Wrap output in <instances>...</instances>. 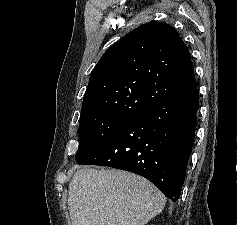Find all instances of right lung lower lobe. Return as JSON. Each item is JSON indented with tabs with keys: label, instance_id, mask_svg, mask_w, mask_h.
<instances>
[{
	"label": "right lung lower lobe",
	"instance_id": "obj_1",
	"mask_svg": "<svg viewBox=\"0 0 237 225\" xmlns=\"http://www.w3.org/2000/svg\"><path fill=\"white\" fill-rule=\"evenodd\" d=\"M198 97L195 85L147 106L77 163L136 173L177 201L194 141Z\"/></svg>",
	"mask_w": 237,
	"mask_h": 225
}]
</instances>
